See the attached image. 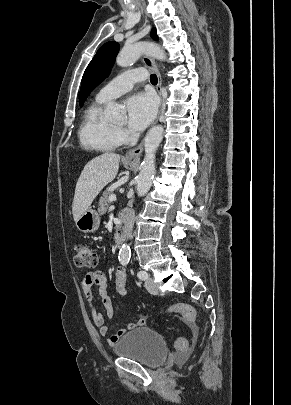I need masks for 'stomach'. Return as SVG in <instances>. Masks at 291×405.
<instances>
[{
  "label": "stomach",
  "instance_id": "1",
  "mask_svg": "<svg viewBox=\"0 0 291 405\" xmlns=\"http://www.w3.org/2000/svg\"><path fill=\"white\" fill-rule=\"evenodd\" d=\"M100 216L96 210L88 208L76 221L77 228L85 233L94 232L99 228Z\"/></svg>",
  "mask_w": 291,
  "mask_h": 405
}]
</instances>
